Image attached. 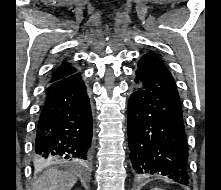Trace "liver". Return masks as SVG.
Here are the masks:
<instances>
[{"label": "liver", "mask_w": 221, "mask_h": 190, "mask_svg": "<svg viewBox=\"0 0 221 190\" xmlns=\"http://www.w3.org/2000/svg\"><path fill=\"white\" fill-rule=\"evenodd\" d=\"M77 178L70 173L51 168L33 183V190H70Z\"/></svg>", "instance_id": "1"}]
</instances>
